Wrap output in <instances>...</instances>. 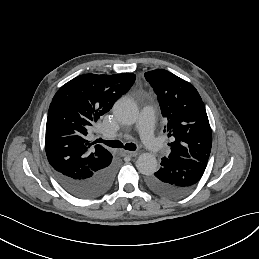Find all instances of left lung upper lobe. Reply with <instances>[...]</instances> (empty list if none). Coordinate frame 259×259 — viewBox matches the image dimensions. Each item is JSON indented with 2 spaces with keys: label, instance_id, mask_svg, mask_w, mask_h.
Segmentation results:
<instances>
[{
  "label": "left lung upper lobe",
  "instance_id": "1",
  "mask_svg": "<svg viewBox=\"0 0 259 259\" xmlns=\"http://www.w3.org/2000/svg\"><path fill=\"white\" fill-rule=\"evenodd\" d=\"M145 78L157 94L162 116L167 120L168 137L173 140L168 143L171 147L168 157L190 158L207 164L212 132L198 91L167 70L148 71Z\"/></svg>",
  "mask_w": 259,
  "mask_h": 259
}]
</instances>
